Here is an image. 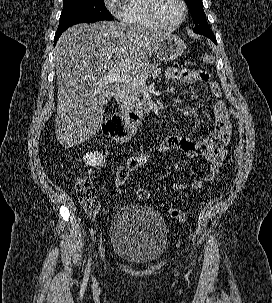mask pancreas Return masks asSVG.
<instances>
[{
  "instance_id": "1",
  "label": "pancreas",
  "mask_w": 272,
  "mask_h": 303,
  "mask_svg": "<svg viewBox=\"0 0 272 303\" xmlns=\"http://www.w3.org/2000/svg\"><path fill=\"white\" fill-rule=\"evenodd\" d=\"M161 74V69L158 68V63L148 65L146 68L138 72L134 77L144 79L145 81L149 77L156 78ZM124 95L127 101L131 102L135 107H141L143 102L140 100L141 88L139 85L127 84L124 87Z\"/></svg>"
}]
</instances>
